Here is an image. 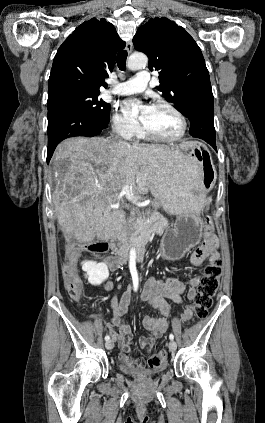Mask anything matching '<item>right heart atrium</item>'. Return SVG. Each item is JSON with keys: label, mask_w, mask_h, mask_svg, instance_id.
I'll list each match as a JSON object with an SVG mask.
<instances>
[{"label": "right heart atrium", "mask_w": 265, "mask_h": 423, "mask_svg": "<svg viewBox=\"0 0 265 423\" xmlns=\"http://www.w3.org/2000/svg\"><path fill=\"white\" fill-rule=\"evenodd\" d=\"M112 127L119 136L128 140L133 139L140 133L139 124L120 111L113 114Z\"/></svg>", "instance_id": "right-heart-atrium-1"}]
</instances>
